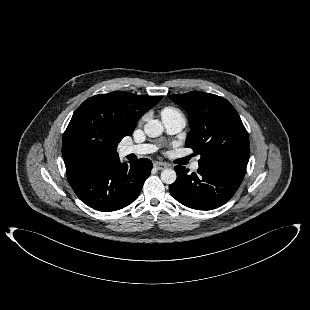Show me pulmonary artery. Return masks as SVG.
Returning <instances> with one entry per match:
<instances>
[{
  "label": "pulmonary artery",
  "mask_w": 310,
  "mask_h": 310,
  "mask_svg": "<svg viewBox=\"0 0 310 310\" xmlns=\"http://www.w3.org/2000/svg\"><path fill=\"white\" fill-rule=\"evenodd\" d=\"M162 121L166 128V131L169 134H176L180 132L186 125L185 118L182 115L163 116ZM155 150L156 147L151 144L125 145L120 148V155H145L152 153ZM190 168L192 171H197L199 168V162L197 160L194 161L190 165Z\"/></svg>",
  "instance_id": "e3ab8cb5"
}]
</instances>
